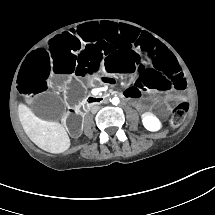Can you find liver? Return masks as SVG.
<instances>
[{
	"label": "liver",
	"mask_w": 215,
	"mask_h": 215,
	"mask_svg": "<svg viewBox=\"0 0 215 215\" xmlns=\"http://www.w3.org/2000/svg\"><path fill=\"white\" fill-rule=\"evenodd\" d=\"M18 115L25 133L40 148L58 153L69 147L68 134L58 122L39 119L24 105H19Z\"/></svg>",
	"instance_id": "obj_1"
}]
</instances>
